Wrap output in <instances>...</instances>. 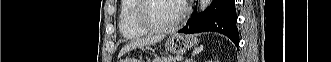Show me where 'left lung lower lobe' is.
Masks as SVG:
<instances>
[{
  "instance_id": "1",
  "label": "left lung lower lobe",
  "mask_w": 331,
  "mask_h": 62,
  "mask_svg": "<svg viewBox=\"0 0 331 62\" xmlns=\"http://www.w3.org/2000/svg\"><path fill=\"white\" fill-rule=\"evenodd\" d=\"M237 15L235 0H213L205 12L196 13V8L188 24L179 33L219 32L239 45V33L236 27Z\"/></svg>"
}]
</instances>
